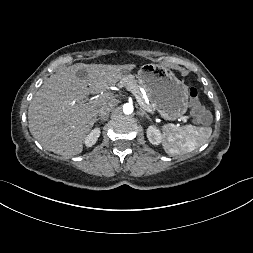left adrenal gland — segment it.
I'll use <instances>...</instances> for the list:
<instances>
[{
	"label": "left adrenal gland",
	"instance_id": "1",
	"mask_svg": "<svg viewBox=\"0 0 253 253\" xmlns=\"http://www.w3.org/2000/svg\"><path fill=\"white\" fill-rule=\"evenodd\" d=\"M139 114L141 115V117L145 116L146 118H148L150 120L149 115L145 112V110H143L142 107L139 108Z\"/></svg>",
	"mask_w": 253,
	"mask_h": 253
}]
</instances>
